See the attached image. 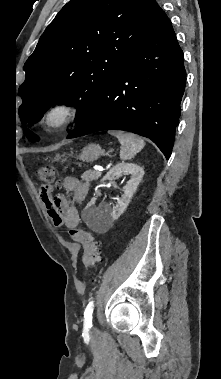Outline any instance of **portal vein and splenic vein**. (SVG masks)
<instances>
[{
    "instance_id": "18ae733b",
    "label": "portal vein and splenic vein",
    "mask_w": 221,
    "mask_h": 379,
    "mask_svg": "<svg viewBox=\"0 0 221 379\" xmlns=\"http://www.w3.org/2000/svg\"><path fill=\"white\" fill-rule=\"evenodd\" d=\"M94 169L98 172H101L103 170L101 166H94Z\"/></svg>"
}]
</instances>
